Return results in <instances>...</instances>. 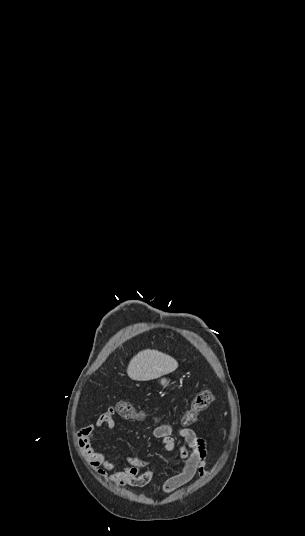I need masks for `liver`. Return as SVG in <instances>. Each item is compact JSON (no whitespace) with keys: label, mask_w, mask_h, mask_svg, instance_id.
I'll return each mask as SVG.
<instances>
[{"label":"liver","mask_w":305,"mask_h":536,"mask_svg":"<svg viewBox=\"0 0 305 536\" xmlns=\"http://www.w3.org/2000/svg\"><path fill=\"white\" fill-rule=\"evenodd\" d=\"M176 368H178V362L171 356L157 352V350H143L129 362L127 374L131 380L148 382L165 374H171Z\"/></svg>","instance_id":"liver-1"}]
</instances>
